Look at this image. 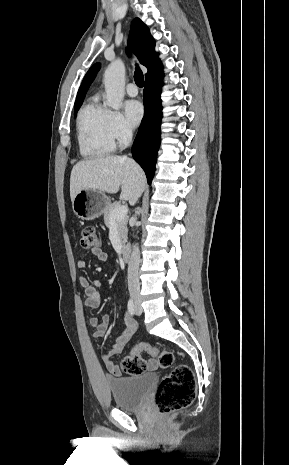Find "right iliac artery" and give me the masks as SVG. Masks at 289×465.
<instances>
[{
  "label": "right iliac artery",
  "instance_id": "82829eb1",
  "mask_svg": "<svg viewBox=\"0 0 289 465\" xmlns=\"http://www.w3.org/2000/svg\"><path fill=\"white\" fill-rule=\"evenodd\" d=\"M128 312L130 313V315H134L135 313V306L132 299L128 301Z\"/></svg>",
  "mask_w": 289,
  "mask_h": 465
}]
</instances>
